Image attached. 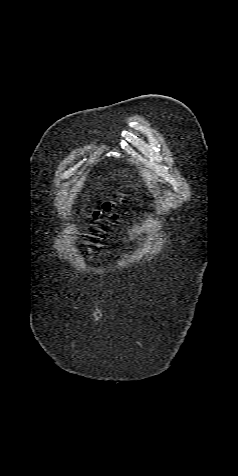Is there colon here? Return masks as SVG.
<instances>
[{"instance_id": "colon-1", "label": "colon", "mask_w": 238, "mask_h": 476, "mask_svg": "<svg viewBox=\"0 0 238 476\" xmlns=\"http://www.w3.org/2000/svg\"><path fill=\"white\" fill-rule=\"evenodd\" d=\"M115 207L116 202L106 201L94 212V217L97 219L116 217L117 213L115 212Z\"/></svg>"}]
</instances>
